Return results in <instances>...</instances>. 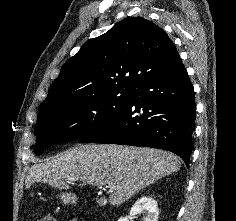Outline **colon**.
<instances>
[{"instance_id":"5ec220e1","label":"colon","mask_w":236,"mask_h":221,"mask_svg":"<svg viewBox=\"0 0 236 221\" xmlns=\"http://www.w3.org/2000/svg\"><path fill=\"white\" fill-rule=\"evenodd\" d=\"M34 221H57V220L54 215L47 213L44 216H42L41 218L35 219ZM71 221H73V220H71Z\"/></svg>"}]
</instances>
